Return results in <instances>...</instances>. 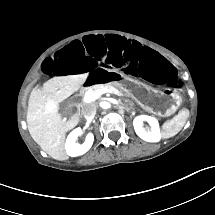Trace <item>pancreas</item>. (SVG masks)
<instances>
[{
	"instance_id": "cf45deb5",
	"label": "pancreas",
	"mask_w": 215,
	"mask_h": 215,
	"mask_svg": "<svg viewBox=\"0 0 215 215\" xmlns=\"http://www.w3.org/2000/svg\"><path fill=\"white\" fill-rule=\"evenodd\" d=\"M114 84L113 82H108L106 84H95L89 87H85L81 90L80 94L81 95H88L90 92H95L99 89H103V88H113ZM120 95H124L123 92L119 91Z\"/></svg>"
}]
</instances>
